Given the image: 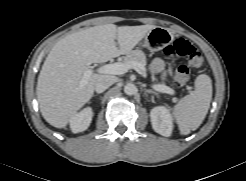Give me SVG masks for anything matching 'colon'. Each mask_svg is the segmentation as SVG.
Here are the masks:
<instances>
[{
  "mask_svg": "<svg viewBox=\"0 0 246 181\" xmlns=\"http://www.w3.org/2000/svg\"><path fill=\"white\" fill-rule=\"evenodd\" d=\"M163 54L168 59L178 57L187 58L190 67L199 69L204 65V59L200 51L189 41L179 38L163 49ZM190 78L189 69L186 65H178L175 69V82L178 86H184Z\"/></svg>",
  "mask_w": 246,
  "mask_h": 181,
  "instance_id": "5ec220e1",
  "label": "colon"
}]
</instances>
